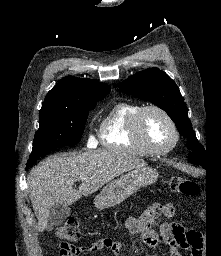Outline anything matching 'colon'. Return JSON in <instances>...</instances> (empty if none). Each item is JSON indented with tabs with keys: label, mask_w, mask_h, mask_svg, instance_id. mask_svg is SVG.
<instances>
[{
	"label": "colon",
	"mask_w": 221,
	"mask_h": 256,
	"mask_svg": "<svg viewBox=\"0 0 221 256\" xmlns=\"http://www.w3.org/2000/svg\"><path fill=\"white\" fill-rule=\"evenodd\" d=\"M171 191L188 196L196 195L198 185L185 177L174 176L169 181ZM55 237L61 242V253L69 256H77L79 248L77 243L81 238L79 220L76 217H69L63 224L55 229ZM187 248L191 250L192 256H202L203 239L200 233L190 231L186 235Z\"/></svg>",
	"instance_id": "colon-1"
}]
</instances>
